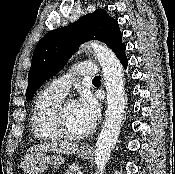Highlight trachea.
<instances>
[{
    "label": "trachea",
    "instance_id": "obj_1",
    "mask_svg": "<svg viewBox=\"0 0 175 174\" xmlns=\"http://www.w3.org/2000/svg\"><path fill=\"white\" fill-rule=\"evenodd\" d=\"M101 80V76H96L94 77L93 81H100Z\"/></svg>",
    "mask_w": 175,
    "mask_h": 174
}]
</instances>
